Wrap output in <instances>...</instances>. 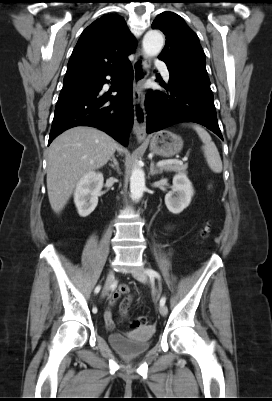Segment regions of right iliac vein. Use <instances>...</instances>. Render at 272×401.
<instances>
[{"label":"right iliac vein","instance_id":"obj_1","mask_svg":"<svg viewBox=\"0 0 272 401\" xmlns=\"http://www.w3.org/2000/svg\"><path fill=\"white\" fill-rule=\"evenodd\" d=\"M113 278H114L113 271L109 270V272L107 274V277H106L105 285H104L103 290H102V297L107 296V294L109 293L110 286H111V283L113 281Z\"/></svg>","mask_w":272,"mask_h":401}]
</instances>
